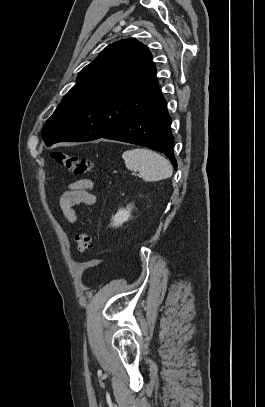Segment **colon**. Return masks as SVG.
Segmentation results:
<instances>
[{
	"instance_id": "5ec220e1",
	"label": "colon",
	"mask_w": 265,
	"mask_h": 407,
	"mask_svg": "<svg viewBox=\"0 0 265 407\" xmlns=\"http://www.w3.org/2000/svg\"><path fill=\"white\" fill-rule=\"evenodd\" d=\"M52 158L59 166L72 171L76 175L90 173L95 170L92 160L79 157L75 154L55 151L52 153ZM76 241L78 254L82 255L89 250L92 245V237L89 229L85 228L80 234H78Z\"/></svg>"
}]
</instances>
